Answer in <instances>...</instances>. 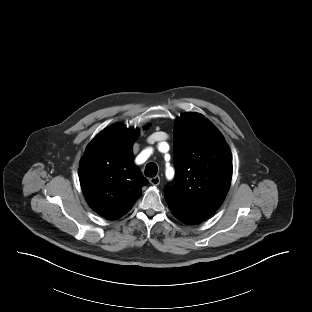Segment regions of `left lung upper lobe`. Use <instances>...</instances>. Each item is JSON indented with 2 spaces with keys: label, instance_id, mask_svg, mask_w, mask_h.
Wrapping results in <instances>:
<instances>
[{
  "label": "left lung upper lobe",
  "instance_id": "1",
  "mask_svg": "<svg viewBox=\"0 0 312 312\" xmlns=\"http://www.w3.org/2000/svg\"><path fill=\"white\" fill-rule=\"evenodd\" d=\"M175 184L165 186L176 218L196 224L222 204L232 177L231 152L221 132L202 114L185 113L174 128Z\"/></svg>",
  "mask_w": 312,
  "mask_h": 312
}]
</instances>
